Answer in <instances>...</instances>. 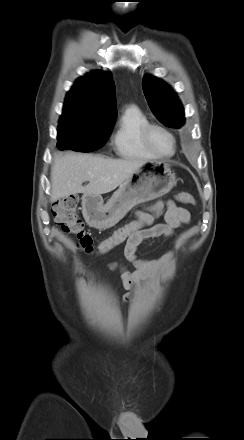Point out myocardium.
I'll use <instances>...</instances> for the list:
<instances>
[{
    "instance_id": "f54148a6",
    "label": "myocardium",
    "mask_w": 244,
    "mask_h": 440,
    "mask_svg": "<svg viewBox=\"0 0 244 440\" xmlns=\"http://www.w3.org/2000/svg\"><path fill=\"white\" fill-rule=\"evenodd\" d=\"M153 130H160V131L166 133L171 138V140L173 142V151L169 155L160 154L152 148V146L150 144V134ZM140 139H141V142L144 145V147L151 154H153L155 157L171 156L176 151V146H177L176 138L173 135V133L170 130H168L167 128H165L164 126H161L158 124H152V123L147 124L146 126H144L142 128V130L140 132Z\"/></svg>"
}]
</instances>
